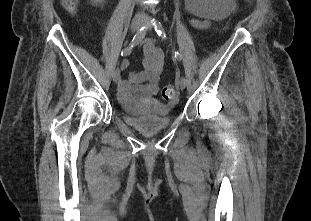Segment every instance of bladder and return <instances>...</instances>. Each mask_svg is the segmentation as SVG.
I'll list each match as a JSON object with an SVG mask.
<instances>
[{"label": "bladder", "mask_w": 311, "mask_h": 221, "mask_svg": "<svg viewBox=\"0 0 311 221\" xmlns=\"http://www.w3.org/2000/svg\"><path fill=\"white\" fill-rule=\"evenodd\" d=\"M123 122L142 135H155L172 125V108L152 98L145 104L122 103Z\"/></svg>", "instance_id": "obj_1"}]
</instances>
